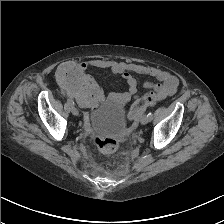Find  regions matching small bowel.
Masks as SVG:
<instances>
[{"mask_svg":"<svg viewBox=\"0 0 224 224\" xmlns=\"http://www.w3.org/2000/svg\"><path fill=\"white\" fill-rule=\"evenodd\" d=\"M83 67L110 69L114 74L121 75L128 86L127 91L118 96L119 103L122 106H125L132 99L137 98V81L133 77V73L151 76L158 80L157 84L145 83V87L153 91V100L165 99L173 95L179 84L177 77L170 72L138 63L120 62L106 59H92L85 62Z\"/></svg>","mask_w":224,"mask_h":224,"instance_id":"obj_1","label":"small bowel"}]
</instances>
